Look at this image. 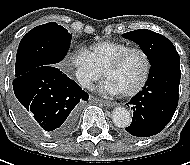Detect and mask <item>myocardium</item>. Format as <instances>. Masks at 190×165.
I'll return each instance as SVG.
<instances>
[{"label":"myocardium","mask_w":190,"mask_h":165,"mask_svg":"<svg viewBox=\"0 0 190 165\" xmlns=\"http://www.w3.org/2000/svg\"><path fill=\"white\" fill-rule=\"evenodd\" d=\"M133 52H138L140 53L144 60H145V70L143 73L142 78L140 79V81L131 89L127 90V91H123L120 92L123 96H132L135 95L136 93H138L146 84L150 72H151V67H152V63H151V58L149 56V54L147 53L146 50H144L143 48L140 47H130L124 51H122L121 53H119L115 58H113L109 64L105 67L104 69V76L107 78V75L110 71L116 69L122 62L123 60L130 54Z\"/></svg>","instance_id":"1"}]
</instances>
